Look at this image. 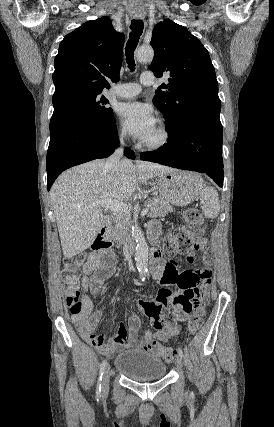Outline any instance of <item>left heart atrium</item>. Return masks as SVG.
<instances>
[{"label": "left heart atrium", "instance_id": "39dd6f15", "mask_svg": "<svg viewBox=\"0 0 274 427\" xmlns=\"http://www.w3.org/2000/svg\"><path fill=\"white\" fill-rule=\"evenodd\" d=\"M116 113L123 128L141 140L147 137L157 124L152 108L142 102L120 104Z\"/></svg>", "mask_w": 274, "mask_h": 427}]
</instances>
